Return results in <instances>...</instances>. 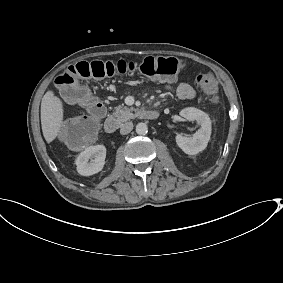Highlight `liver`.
Instances as JSON below:
<instances>
[{
    "mask_svg": "<svg viewBox=\"0 0 283 283\" xmlns=\"http://www.w3.org/2000/svg\"><path fill=\"white\" fill-rule=\"evenodd\" d=\"M64 121V103L49 89L41 102L42 133L48 144L52 143L60 133Z\"/></svg>",
    "mask_w": 283,
    "mask_h": 283,
    "instance_id": "liver-1",
    "label": "liver"
}]
</instances>
